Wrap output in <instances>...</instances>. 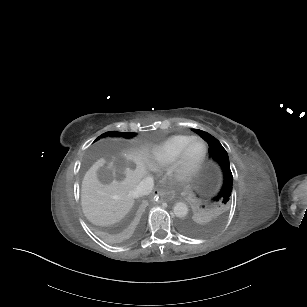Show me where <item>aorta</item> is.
I'll return each instance as SVG.
<instances>
[{"label":"aorta","instance_id":"1","mask_svg":"<svg viewBox=\"0 0 307 307\" xmlns=\"http://www.w3.org/2000/svg\"><path fill=\"white\" fill-rule=\"evenodd\" d=\"M176 217L183 218L188 214V206L183 202H178L173 208Z\"/></svg>","mask_w":307,"mask_h":307}]
</instances>
